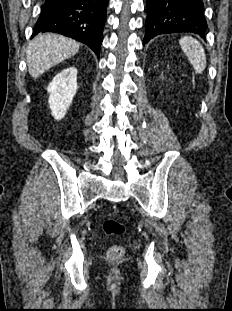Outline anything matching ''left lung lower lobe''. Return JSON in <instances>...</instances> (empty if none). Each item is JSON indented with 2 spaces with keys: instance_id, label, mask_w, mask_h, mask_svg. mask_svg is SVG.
<instances>
[{
  "instance_id": "obj_1",
  "label": "left lung lower lobe",
  "mask_w": 232,
  "mask_h": 311,
  "mask_svg": "<svg viewBox=\"0 0 232 311\" xmlns=\"http://www.w3.org/2000/svg\"><path fill=\"white\" fill-rule=\"evenodd\" d=\"M144 43L166 33L193 32L205 38L207 23L202 0H147Z\"/></svg>"
}]
</instances>
